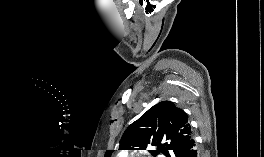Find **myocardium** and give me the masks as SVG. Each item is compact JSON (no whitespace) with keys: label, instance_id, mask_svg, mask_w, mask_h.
Masks as SVG:
<instances>
[{"label":"myocardium","instance_id":"1","mask_svg":"<svg viewBox=\"0 0 264 157\" xmlns=\"http://www.w3.org/2000/svg\"><path fill=\"white\" fill-rule=\"evenodd\" d=\"M131 157H143V156L135 155V156H131Z\"/></svg>","mask_w":264,"mask_h":157}]
</instances>
